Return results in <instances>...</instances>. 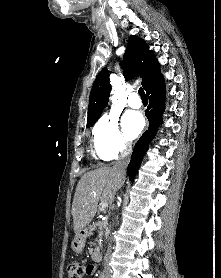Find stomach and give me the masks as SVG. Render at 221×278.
Segmentation results:
<instances>
[{
    "label": "stomach",
    "instance_id": "1",
    "mask_svg": "<svg viewBox=\"0 0 221 278\" xmlns=\"http://www.w3.org/2000/svg\"><path fill=\"white\" fill-rule=\"evenodd\" d=\"M85 246V237L79 232L71 243V248L75 253H81Z\"/></svg>",
    "mask_w": 221,
    "mask_h": 278
}]
</instances>
